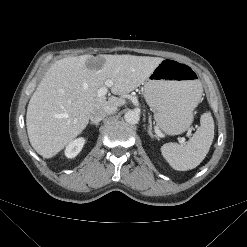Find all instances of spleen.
<instances>
[{
    "label": "spleen",
    "mask_w": 247,
    "mask_h": 247,
    "mask_svg": "<svg viewBox=\"0 0 247 247\" xmlns=\"http://www.w3.org/2000/svg\"><path fill=\"white\" fill-rule=\"evenodd\" d=\"M214 139V121L210 112L201 116L200 126L187 144L166 143L161 153L169 165L178 171L196 168L206 157Z\"/></svg>",
    "instance_id": "1"
}]
</instances>
